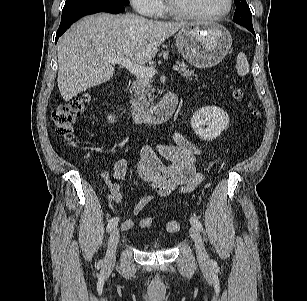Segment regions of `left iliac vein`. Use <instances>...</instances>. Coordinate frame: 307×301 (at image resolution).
I'll return each instance as SVG.
<instances>
[{
  "label": "left iliac vein",
  "instance_id": "4c4485c4",
  "mask_svg": "<svg viewBox=\"0 0 307 301\" xmlns=\"http://www.w3.org/2000/svg\"><path fill=\"white\" fill-rule=\"evenodd\" d=\"M190 236L195 244L198 261L200 263H206L209 260V256L205 249L201 234L195 226L190 228Z\"/></svg>",
  "mask_w": 307,
  "mask_h": 301
}]
</instances>
